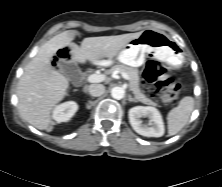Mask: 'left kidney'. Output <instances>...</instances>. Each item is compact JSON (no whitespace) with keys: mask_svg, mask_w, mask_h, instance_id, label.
Listing matches in <instances>:
<instances>
[{"mask_svg":"<svg viewBox=\"0 0 222 187\" xmlns=\"http://www.w3.org/2000/svg\"><path fill=\"white\" fill-rule=\"evenodd\" d=\"M129 121L132 128L146 137H161L164 135V122L160 112L150 106H135L129 110ZM142 117H148L150 126L143 123Z\"/></svg>","mask_w":222,"mask_h":187,"instance_id":"left-kidney-1","label":"left kidney"}]
</instances>
